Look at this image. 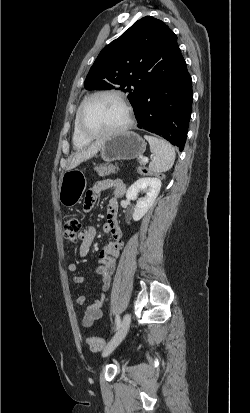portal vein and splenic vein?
Returning a JSON list of instances; mask_svg holds the SVG:
<instances>
[{
    "instance_id": "portal-vein-and-splenic-vein-1",
    "label": "portal vein and splenic vein",
    "mask_w": 250,
    "mask_h": 413,
    "mask_svg": "<svg viewBox=\"0 0 250 413\" xmlns=\"http://www.w3.org/2000/svg\"><path fill=\"white\" fill-rule=\"evenodd\" d=\"M142 161H143V162H148V158L145 157V158L142 159Z\"/></svg>"
}]
</instances>
